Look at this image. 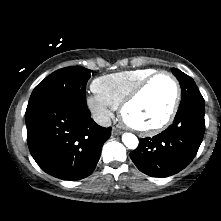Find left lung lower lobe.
Instances as JSON below:
<instances>
[{
  "instance_id": "1",
  "label": "left lung lower lobe",
  "mask_w": 221,
  "mask_h": 221,
  "mask_svg": "<svg viewBox=\"0 0 221 221\" xmlns=\"http://www.w3.org/2000/svg\"><path fill=\"white\" fill-rule=\"evenodd\" d=\"M205 103L179 107L174 122L165 131L139 142L130 157L136 167L153 177L176 174L193 160L205 131Z\"/></svg>"
}]
</instances>
